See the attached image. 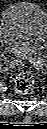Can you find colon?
<instances>
[{"label":"colon","instance_id":"5ec220e1","mask_svg":"<svg viewBox=\"0 0 47 129\" xmlns=\"http://www.w3.org/2000/svg\"><path fill=\"white\" fill-rule=\"evenodd\" d=\"M33 86V76L29 72L18 74L14 80V88L18 93H27Z\"/></svg>","mask_w":47,"mask_h":129}]
</instances>
